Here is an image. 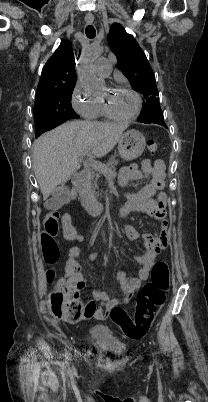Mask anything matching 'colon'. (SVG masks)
<instances>
[{
	"label": "colon",
	"instance_id": "5ec220e1",
	"mask_svg": "<svg viewBox=\"0 0 208 402\" xmlns=\"http://www.w3.org/2000/svg\"><path fill=\"white\" fill-rule=\"evenodd\" d=\"M146 146L150 153L157 151V144L152 140L148 141ZM60 227L61 222L57 216L53 214L46 216L44 220L46 232L41 234V239L45 242L43 243V248L40 250L41 255L44 256L46 265H57L59 263L61 249L54 239L58 236ZM64 236L66 238H75L77 231L75 229H66ZM68 253L73 255L76 253V250L70 248ZM46 278L48 281H55L57 275L55 272H48ZM57 283L59 286L54 287L53 292L49 293V299L47 300V307L51 308L52 314H63L67 319H74L89 317L92 313L98 311L101 305L91 299L84 301V298L81 297L85 293L83 289H76L78 297L75 296L74 283L69 282L67 277H59ZM169 284L168 264L164 260L158 261L151 269L150 280L137 293L135 299L136 311L133 319L127 314L124 306L120 304L107 306L109 311L103 313L111 316L112 321L127 338L140 339L148 333L158 308L165 303Z\"/></svg>",
	"mask_w": 208,
	"mask_h": 402
}]
</instances>
